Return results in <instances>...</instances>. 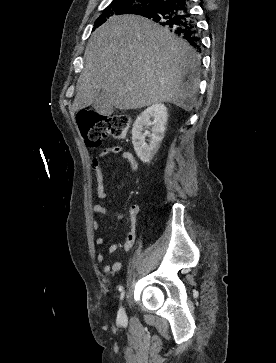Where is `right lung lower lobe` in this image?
Instances as JSON below:
<instances>
[{"label": "right lung lower lobe", "mask_w": 276, "mask_h": 363, "mask_svg": "<svg viewBox=\"0 0 276 363\" xmlns=\"http://www.w3.org/2000/svg\"><path fill=\"white\" fill-rule=\"evenodd\" d=\"M136 15L164 26L201 52L198 28L188 8V0H160Z\"/></svg>", "instance_id": "right-lung-lower-lobe-1"}]
</instances>
